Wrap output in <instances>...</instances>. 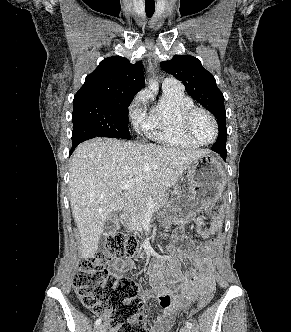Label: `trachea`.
<instances>
[{
    "label": "trachea",
    "mask_w": 291,
    "mask_h": 332,
    "mask_svg": "<svg viewBox=\"0 0 291 332\" xmlns=\"http://www.w3.org/2000/svg\"><path fill=\"white\" fill-rule=\"evenodd\" d=\"M145 11H146V15L147 17H152V15L154 14L155 11V2L153 3H145Z\"/></svg>",
    "instance_id": "trachea-1"
}]
</instances>
